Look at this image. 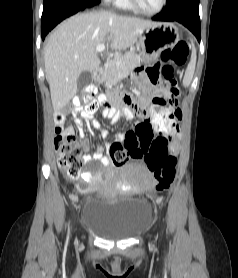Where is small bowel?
<instances>
[{
	"mask_svg": "<svg viewBox=\"0 0 238 278\" xmlns=\"http://www.w3.org/2000/svg\"><path fill=\"white\" fill-rule=\"evenodd\" d=\"M163 65L160 64V59H151V64L148 67H145L144 75L148 76V80L141 74L136 76L137 82L140 87L143 89V94L141 96L140 103H136L135 100H124L122 107H116L113 104L111 98L106 95H99L97 99V104L102 107V115L108 119H110L113 123H116L120 119L124 118L127 120L133 119L136 115L145 118L144 122L139 123L134 127V129L118 134L115 136L114 143H127L133 141L139 144L140 137H152L150 144H168L170 149H172V154L177 152L180 146L178 139V127L177 121L181 118L180 110L175 109V119H174V128L173 130L165 135H159L154 132V127H140L142 125L148 124V113H151L152 106L147 105L149 96L151 94L152 89H159V85H161L162 81V72ZM153 98L157 97L156 93L152 94ZM94 112H88L85 109L77 108L75 109L74 115V123L76 128L78 129L80 136L82 137L83 130V120H89L92 127L99 130L101 136L106 139L108 137V132L101 128L100 122L94 117ZM55 122V131L56 133H64V134H74L73 127H65V114L63 112H56L54 115ZM82 147L84 150L88 149V142L85 139L81 140ZM113 143H109L105 141L104 146H99L95 150L93 155L85 154L83 156L84 163H89L92 160H99L103 164H109L110 161L107 157L104 156V150L110 149ZM154 181L151 178H148L146 181V189H152L154 187ZM82 190V188H80ZM72 200H76V196L72 194L70 196Z\"/></svg>",
	"mask_w": 238,
	"mask_h": 278,
	"instance_id": "c3829d8e",
	"label": "small bowel"
}]
</instances>
